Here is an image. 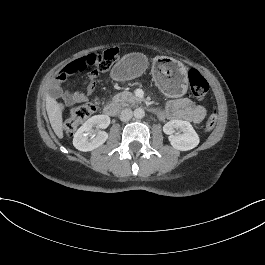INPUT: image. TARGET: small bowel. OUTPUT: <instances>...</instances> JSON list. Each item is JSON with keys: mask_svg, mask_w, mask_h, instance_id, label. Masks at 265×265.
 <instances>
[{"mask_svg": "<svg viewBox=\"0 0 265 265\" xmlns=\"http://www.w3.org/2000/svg\"><path fill=\"white\" fill-rule=\"evenodd\" d=\"M97 75V71L89 73L86 93L62 91L58 85H53L52 93L55 96H62L66 106L85 102L88 95L95 89ZM160 115L168 120H183L200 124L206 116V109L202 105L194 104L188 98H176L167 102L165 110L161 111Z\"/></svg>", "mask_w": 265, "mask_h": 265, "instance_id": "1", "label": "small bowel"}]
</instances>
